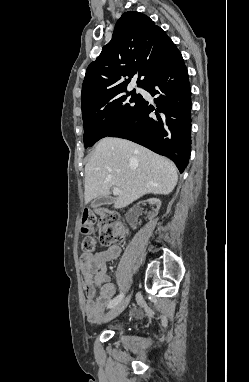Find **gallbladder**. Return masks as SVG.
<instances>
[{
  "label": "gallbladder",
  "instance_id": "obj_1",
  "mask_svg": "<svg viewBox=\"0 0 249 382\" xmlns=\"http://www.w3.org/2000/svg\"><path fill=\"white\" fill-rule=\"evenodd\" d=\"M112 200L109 197H99L91 203V207L96 209L103 205L111 204Z\"/></svg>",
  "mask_w": 249,
  "mask_h": 382
}]
</instances>
